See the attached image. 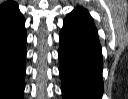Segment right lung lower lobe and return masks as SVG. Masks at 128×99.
<instances>
[{
	"label": "right lung lower lobe",
	"mask_w": 128,
	"mask_h": 99,
	"mask_svg": "<svg viewBox=\"0 0 128 99\" xmlns=\"http://www.w3.org/2000/svg\"><path fill=\"white\" fill-rule=\"evenodd\" d=\"M25 20L17 4L0 13V99H23Z\"/></svg>",
	"instance_id": "98d812e1"
}]
</instances>
